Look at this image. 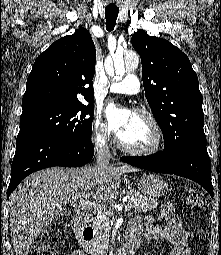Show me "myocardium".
<instances>
[{
  "mask_svg": "<svg viewBox=\"0 0 221 255\" xmlns=\"http://www.w3.org/2000/svg\"><path fill=\"white\" fill-rule=\"evenodd\" d=\"M133 113L139 117L144 118L151 125V127L153 129V133H154V140H153L152 144L147 147L134 148V147L126 146L125 144H123L121 142L119 137L116 136L115 143H116L117 147L120 150H122L123 152L132 154V155L144 156V155H152V154L157 153L162 148L163 141H164L163 132H162L160 124L158 123V121L152 114H150L144 110L135 109L133 111Z\"/></svg>",
  "mask_w": 221,
  "mask_h": 255,
  "instance_id": "myocardium-1",
  "label": "myocardium"
}]
</instances>
